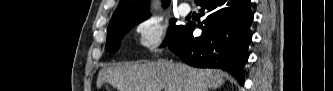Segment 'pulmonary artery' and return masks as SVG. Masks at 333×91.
Returning a JSON list of instances; mask_svg holds the SVG:
<instances>
[{
	"mask_svg": "<svg viewBox=\"0 0 333 91\" xmlns=\"http://www.w3.org/2000/svg\"><path fill=\"white\" fill-rule=\"evenodd\" d=\"M178 11L181 16H187L190 13L191 8L188 4L185 3L179 6Z\"/></svg>",
	"mask_w": 333,
	"mask_h": 91,
	"instance_id": "e3ab8cb5",
	"label": "pulmonary artery"
}]
</instances>
